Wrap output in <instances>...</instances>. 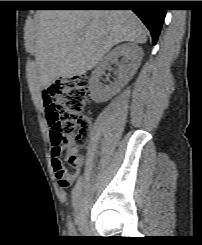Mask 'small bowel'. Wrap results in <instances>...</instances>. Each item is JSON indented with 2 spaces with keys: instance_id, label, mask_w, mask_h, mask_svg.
I'll use <instances>...</instances> for the list:
<instances>
[{
  "instance_id": "1",
  "label": "small bowel",
  "mask_w": 202,
  "mask_h": 245,
  "mask_svg": "<svg viewBox=\"0 0 202 245\" xmlns=\"http://www.w3.org/2000/svg\"><path fill=\"white\" fill-rule=\"evenodd\" d=\"M43 104L46 107L49 117L54 113L55 102L57 97V90L54 86H50L41 94ZM73 141L68 140L65 144L59 147L51 146V165L54 175L57 179L58 185L62 189H66L73 184L79 175L81 161L78 159L77 163L73 166L72 170L68 169L65 165L64 152L68 155H77V149L73 148Z\"/></svg>"
}]
</instances>
